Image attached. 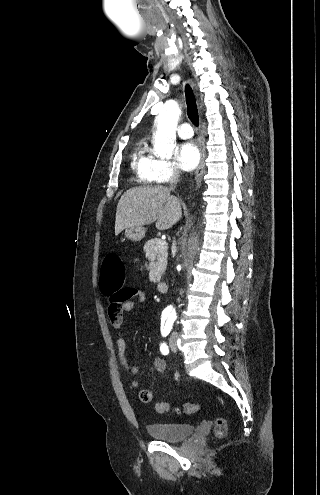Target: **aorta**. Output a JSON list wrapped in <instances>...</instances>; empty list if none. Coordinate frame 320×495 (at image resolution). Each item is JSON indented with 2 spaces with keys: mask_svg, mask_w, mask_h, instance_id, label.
<instances>
[{
  "mask_svg": "<svg viewBox=\"0 0 320 495\" xmlns=\"http://www.w3.org/2000/svg\"><path fill=\"white\" fill-rule=\"evenodd\" d=\"M181 115L178 103L168 100L160 107L154 124V151L157 156L171 158L176 146V129ZM195 232H191L185 242V252L194 251Z\"/></svg>",
  "mask_w": 320,
  "mask_h": 495,
  "instance_id": "aorta-1",
  "label": "aorta"
}]
</instances>
